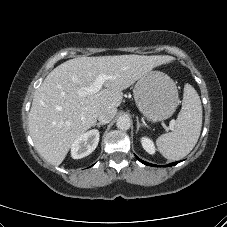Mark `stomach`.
<instances>
[{
    "label": "stomach",
    "instance_id": "stomach-1",
    "mask_svg": "<svg viewBox=\"0 0 227 227\" xmlns=\"http://www.w3.org/2000/svg\"><path fill=\"white\" fill-rule=\"evenodd\" d=\"M133 92L138 109L152 123L168 119L178 106L175 82L157 70H151L138 79Z\"/></svg>",
    "mask_w": 227,
    "mask_h": 227
}]
</instances>
